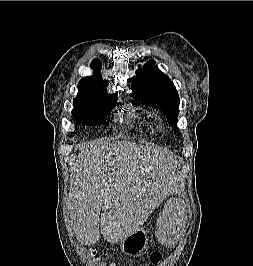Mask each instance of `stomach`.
Masks as SVG:
<instances>
[{"mask_svg":"<svg viewBox=\"0 0 253 266\" xmlns=\"http://www.w3.org/2000/svg\"><path fill=\"white\" fill-rule=\"evenodd\" d=\"M157 237L159 238V235H157ZM147 244V234L144 229L139 228L137 231L125 238L120 243V247L126 255H138L147 248Z\"/></svg>","mask_w":253,"mask_h":266,"instance_id":"obj_1","label":"stomach"}]
</instances>
